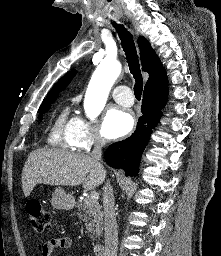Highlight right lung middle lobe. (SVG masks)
<instances>
[{"label": "right lung middle lobe", "mask_w": 221, "mask_h": 256, "mask_svg": "<svg viewBox=\"0 0 221 256\" xmlns=\"http://www.w3.org/2000/svg\"><path fill=\"white\" fill-rule=\"evenodd\" d=\"M57 95L51 96L44 100V102L41 104L39 108V120H42V115L48 111L50 108V105L56 100Z\"/></svg>", "instance_id": "right-lung-middle-lobe-1"}]
</instances>
